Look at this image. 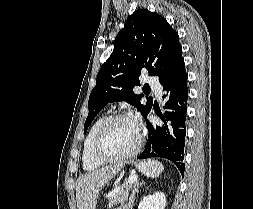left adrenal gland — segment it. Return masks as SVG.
I'll list each match as a JSON object with an SVG mask.
<instances>
[{
  "instance_id": "obj_1",
  "label": "left adrenal gland",
  "mask_w": 253,
  "mask_h": 209,
  "mask_svg": "<svg viewBox=\"0 0 253 209\" xmlns=\"http://www.w3.org/2000/svg\"><path fill=\"white\" fill-rule=\"evenodd\" d=\"M144 182H138L136 181L135 185H134V189L132 191L131 197L129 198V203H128V209H132L133 205H134V198H135V194L138 193L139 191V187L144 185Z\"/></svg>"
}]
</instances>
